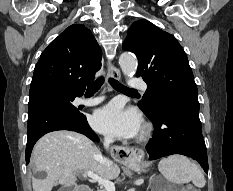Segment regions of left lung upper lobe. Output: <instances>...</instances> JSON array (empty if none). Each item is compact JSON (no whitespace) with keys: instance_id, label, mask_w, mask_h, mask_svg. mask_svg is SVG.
Segmentation results:
<instances>
[{"instance_id":"1","label":"left lung upper lobe","mask_w":233,"mask_h":191,"mask_svg":"<svg viewBox=\"0 0 233 191\" xmlns=\"http://www.w3.org/2000/svg\"><path fill=\"white\" fill-rule=\"evenodd\" d=\"M123 49L138 58L137 77L148 88L139 107L148 113L160 100H186L199 105L197 87L187 56L175 37L147 20L128 29Z\"/></svg>"}]
</instances>
